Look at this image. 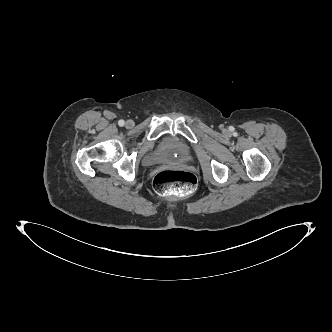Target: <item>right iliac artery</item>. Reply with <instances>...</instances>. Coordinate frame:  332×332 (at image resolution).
<instances>
[{"label": "right iliac artery", "mask_w": 332, "mask_h": 332, "mask_svg": "<svg viewBox=\"0 0 332 332\" xmlns=\"http://www.w3.org/2000/svg\"><path fill=\"white\" fill-rule=\"evenodd\" d=\"M119 126H123L125 124L124 120H119L118 122Z\"/></svg>", "instance_id": "right-iliac-artery-1"}]
</instances>
